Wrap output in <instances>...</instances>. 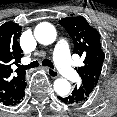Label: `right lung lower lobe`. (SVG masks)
I'll return each instance as SVG.
<instances>
[{"mask_svg":"<svg viewBox=\"0 0 117 117\" xmlns=\"http://www.w3.org/2000/svg\"><path fill=\"white\" fill-rule=\"evenodd\" d=\"M25 87H26V82L25 80H22L17 84L16 88L13 90L11 95L7 97L5 100H2L0 103L6 106H14L18 104L21 101V99L24 97Z\"/></svg>","mask_w":117,"mask_h":117,"instance_id":"1","label":"right lung lower lobe"}]
</instances>
